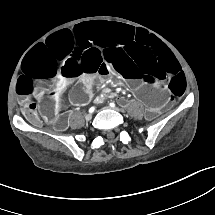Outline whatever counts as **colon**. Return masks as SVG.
I'll return each instance as SVG.
<instances>
[{"label": "colon", "mask_w": 215, "mask_h": 215, "mask_svg": "<svg viewBox=\"0 0 215 215\" xmlns=\"http://www.w3.org/2000/svg\"><path fill=\"white\" fill-rule=\"evenodd\" d=\"M39 106L41 110L45 113V118L49 123L56 122L58 118V112L56 107V99L51 96L44 95L39 100ZM26 118L30 121H37L36 106L34 103H23L21 105Z\"/></svg>", "instance_id": "obj_1"}]
</instances>
